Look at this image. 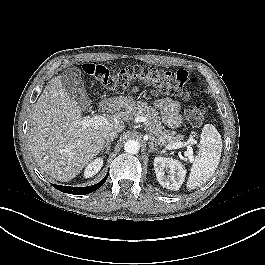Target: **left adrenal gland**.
<instances>
[{"label":"left adrenal gland","mask_w":265,"mask_h":265,"mask_svg":"<svg viewBox=\"0 0 265 265\" xmlns=\"http://www.w3.org/2000/svg\"><path fill=\"white\" fill-rule=\"evenodd\" d=\"M148 144H149V151H148L149 153L157 151V149L154 147L153 142H148Z\"/></svg>","instance_id":"obj_1"}]
</instances>
